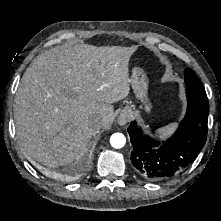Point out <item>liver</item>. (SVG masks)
<instances>
[{
	"mask_svg": "<svg viewBox=\"0 0 221 221\" xmlns=\"http://www.w3.org/2000/svg\"><path fill=\"white\" fill-rule=\"evenodd\" d=\"M137 46L79 44L46 51L25 71L15 95L14 118L20 145L47 167L79 158L97 132L94 117L107 128L112 103L129 94V59Z\"/></svg>",
	"mask_w": 221,
	"mask_h": 221,
	"instance_id": "obj_1",
	"label": "liver"
}]
</instances>
